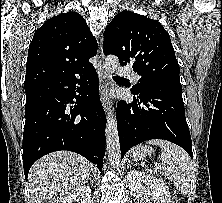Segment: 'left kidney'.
<instances>
[{
  "instance_id": "1",
  "label": "left kidney",
  "mask_w": 222,
  "mask_h": 203,
  "mask_svg": "<svg viewBox=\"0 0 222 203\" xmlns=\"http://www.w3.org/2000/svg\"><path fill=\"white\" fill-rule=\"evenodd\" d=\"M127 181L131 194L140 203H172L169 188L163 180L155 176L130 170Z\"/></svg>"
}]
</instances>
